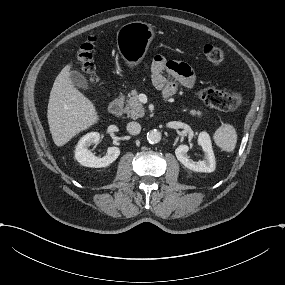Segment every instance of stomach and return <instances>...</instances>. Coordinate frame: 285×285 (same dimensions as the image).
I'll list each match as a JSON object with an SVG mask.
<instances>
[{
    "mask_svg": "<svg viewBox=\"0 0 285 285\" xmlns=\"http://www.w3.org/2000/svg\"><path fill=\"white\" fill-rule=\"evenodd\" d=\"M154 34L153 26L141 21L127 23L118 30L117 48L129 67L142 61Z\"/></svg>",
    "mask_w": 285,
    "mask_h": 285,
    "instance_id": "1",
    "label": "stomach"
}]
</instances>
